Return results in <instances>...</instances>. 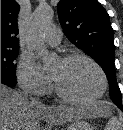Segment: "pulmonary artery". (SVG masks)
Wrapping results in <instances>:
<instances>
[{
  "label": "pulmonary artery",
  "instance_id": "1",
  "mask_svg": "<svg viewBox=\"0 0 123 130\" xmlns=\"http://www.w3.org/2000/svg\"><path fill=\"white\" fill-rule=\"evenodd\" d=\"M62 38L61 31L58 27H50L45 34V40L48 44L52 46H57L60 44Z\"/></svg>",
  "mask_w": 123,
  "mask_h": 130
}]
</instances>
